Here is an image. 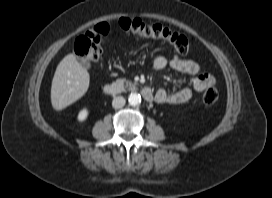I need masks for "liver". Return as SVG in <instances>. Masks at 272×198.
Listing matches in <instances>:
<instances>
[{"label": "liver", "instance_id": "liver-1", "mask_svg": "<svg viewBox=\"0 0 272 198\" xmlns=\"http://www.w3.org/2000/svg\"><path fill=\"white\" fill-rule=\"evenodd\" d=\"M90 76L73 54L65 56L58 64L51 85V103L62 110L81 98L89 87Z\"/></svg>", "mask_w": 272, "mask_h": 198}]
</instances>
